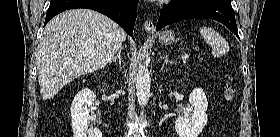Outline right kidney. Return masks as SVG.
<instances>
[{"label":"right kidney","instance_id":"1","mask_svg":"<svg viewBox=\"0 0 280 137\" xmlns=\"http://www.w3.org/2000/svg\"><path fill=\"white\" fill-rule=\"evenodd\" d=\"M95 95L88 88L82 89L74 97L71 104V126L74 137H102V133L89 127V109L94 102Z\"/></svg>","mask_w":280,"mask_h":137}]
</instances>
